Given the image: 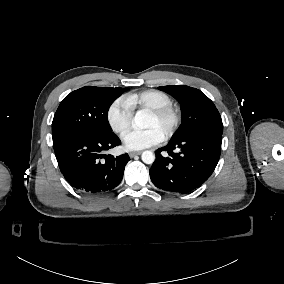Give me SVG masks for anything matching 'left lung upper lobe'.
<instances>
[{
	"instance_id": "1",
	"label": "left lung upper lobe",
	"mask_w": 284,
	"mask_h": 284,
	"mask_svg": "<svg viewBox=\"0 0 284 284\" xmlns=\"http://www.w3.org/2000/svg\"><path fill=\"white\" fill-rule=\"evenodd\" d=\"M159 89L174 96L181 104L182 124L172 138L206 131L222 134L221 116L203 92L185 85L161 86Z\"/></svg>"
}]
</instances>
